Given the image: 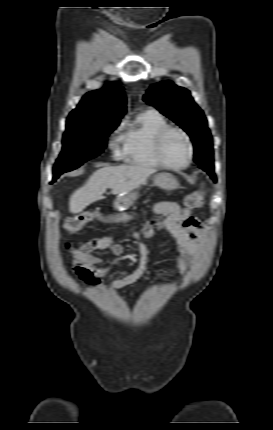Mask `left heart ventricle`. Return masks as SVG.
I'll use <instances>...</instances> for the list:
<instances>
[{
	"instance_id": "b2bd125f",
	"label": "left heart ventricle",
	"mask_w": 273,
	"mask_h": 430,
	"mask_svg": "<svg viewBox=\"0 0 273 430\" xmlns=\"http://www.w3.org/2000/svg\"><path fill=\"white\" fill-rule=\"evenodd\" d=\"M162 154L170 164H184L188 158V147L185 138L176 131L168 133L162 145Z\"/></svg>"
}]
</instances>
